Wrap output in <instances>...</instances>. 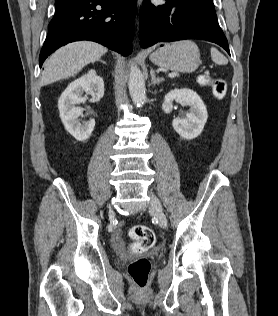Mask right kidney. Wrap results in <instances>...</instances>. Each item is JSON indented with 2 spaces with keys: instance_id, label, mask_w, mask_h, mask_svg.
I'll use <instances>...</instances> for the list:
<instances>
[{
  "instance_id": "obj_1",
  "label": "right kidney",
  "mask_w": 278,
  "mask_h": 316,
  "mask_svg": "<svg viewBox=\"0 0 278 316\" xmlns=\"http://www.w3.org/2000/svg\"><path fill=\"white\" fill-rule=\"evenodd\" d=\"M84 92L98 99L103 97L104 81L95 70H90L71 82L58 100V109L64 127L78 141L87 140L95 127L94 119L84 123L78 120L83 114V109L76 107V104L86 101L87 96H82Z\"/></svg>"
}]
</instances>
